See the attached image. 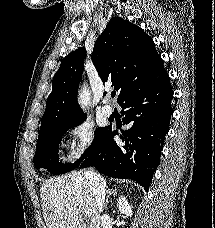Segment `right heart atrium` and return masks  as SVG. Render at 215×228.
<instances>
[{"mask_svg": "<svg viewBox=\"0 0 215 228\" xmlns=\"http://www.w3.org/2000/svg\"><path fill=\"white\" fill-rule=\"evenodd\" d=\"M68 135L71 140L69 152L71 162L85 157L94 147L97 138L94 124L86 118L74 121L68 128Z\"/></svg>", "mask_w": 215, "mask_h": 228, "instance_id": "obj_1", "label": "right heart atrium"}]
</instances>
